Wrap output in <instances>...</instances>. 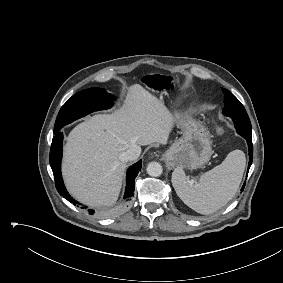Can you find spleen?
Instances as JSON below:
<instances>
[{
  "label": "spleen",
  "mask_w": 283,
  "mask_h": 283,
  "mask_svg": "<svg viewBox=\"0 0 283 283\" xmlns=\"http://www.w3.org/2000/svg\"><path fill=\"white\" fill-rule=\"evenodd\" d=\"M246 158L241 150L230 152L224 161L204 173L198 183L189 180L181 167L172 173L178 197L200 214H210L230 201L242 180Z\"/></svg>",
  "instance_id": "obj_1"
}]
</instances>
